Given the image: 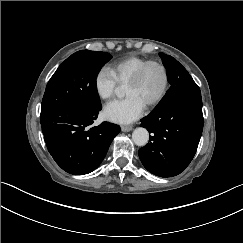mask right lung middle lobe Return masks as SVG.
<instances>
[{
  "instance_id": "right-lung-middle-lobe-1",
  "label": "right lung middle lobe",
  "mask_w": 243,
  "mask_h": 243,
  "mask_svg": "<svg viewBox=\"0 0 243 243\" xmlns=\"http://www.w3.org/2000/svg\"><path fill=\"white\" fill-rule=\"evenodd\" d=\"M111 58L109 53L89 50L72 54L49 80L41 103V114L66 104L101 106L96 77Z\"/></svg>"
}]
</instances>
